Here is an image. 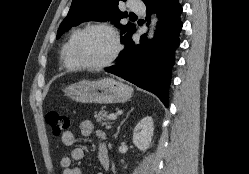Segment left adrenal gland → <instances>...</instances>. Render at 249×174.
Instances as JSON below:
<instances>
[{
    "mask_svg": "<svg viewBox=\"0 0 249 174\" xmlns=\"http://www.w3.org/2000/svg\"><path fill=\"white\" fill-rule=\"evenodd\" d=\"M134 110V108H131V110L128 112V114H127V116H126V118L120 123V125L118 126V128H117V133L115 134V137H117L118 136V134H119V131H120V127L122 126V124L126 121V119L128 118V116L130 115V113L132 112Z\"/></svg>",
    "mask_w": 249,
    "mask_h": 174,
    "instance_id": "obj_1",
    "label": "left adrenal gland"
}]
</instances>
